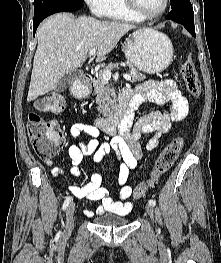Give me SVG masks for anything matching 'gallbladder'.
Wrapping results in <instances>:
<instances>
[{
    "instance_id": "gallbladder-1",
    "label": "gallbladder",
    "mask_w": 221,
    "mask_h": 263,
    "mask_svg": "<svg viewBox=\"0 0 221 263\" xmlns=\"http://www.w3.org/2000/svg\"><path fill=\"white\" fill-rule=\"evenodd\" d=\"M80 75L81 70L75 69L70 71L56 84L54 91L57 93L65 91Z\"/></svg>"
}]
</instances>
